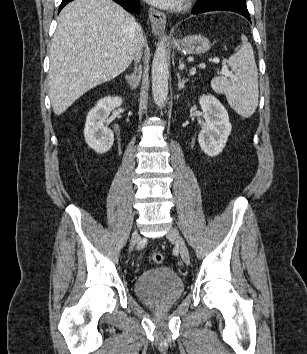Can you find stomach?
Returning <instances> with one entry per match:
<instances>
[{"mask_svg": "<svg viewBox=\"0 0 307 354\" xmlns=\"http://www.w3.org/2000/svg\"><path fill=\"white\" fill-rule=\"evenodd\" d=\"M173 46L181 53L191 55L204 54L211 48L209 39L200 34H190L181 40H175Z\"/></svg>", "mask_w": 307, "mask_h": 354, "instance_id": "obj_1", "label": "stomach"}]
</instances>
